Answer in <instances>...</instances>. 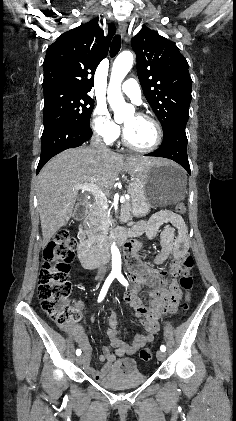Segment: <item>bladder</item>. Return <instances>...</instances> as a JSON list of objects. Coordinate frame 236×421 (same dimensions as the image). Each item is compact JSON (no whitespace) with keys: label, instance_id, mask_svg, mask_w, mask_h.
<instances>
[{"label":"bladder","instance_id":"31cf9c89","mask_svg":"<svg viewBox=\"0 0 236 421\" xmlns=\"http://www.w3.org/2000/svg\"><path fill=\"white\" fill-rule=\"evenodd\" d=\"M146 379L147 375L139 372L136 360L123 358L106 371L101 384L113 389L129 390L140 386Z\"/></svg>","mask_w":236,"mask_h":421}]
</instances>
